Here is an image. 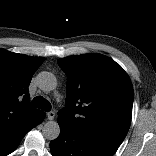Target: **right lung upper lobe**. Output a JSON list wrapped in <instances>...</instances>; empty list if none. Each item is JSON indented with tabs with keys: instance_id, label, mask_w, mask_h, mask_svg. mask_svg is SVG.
<instances>
[{
	"instance_id": "obj_1",
	"label": "right lung upper lobe",
	"mask_w": 156,
	"mask_h": 156,
	"mask_svg": "<svg viewBox=\"0 0 156 156\" xmlns=\"http://www.w3.org/2000/svg\"><path fill=\"white\" fill-rule=\"evenodd\" d=\"M43 61L0 49V131L28 125L41 112L29 105L28 87Z\"/></svg>"
}]
</instances>
